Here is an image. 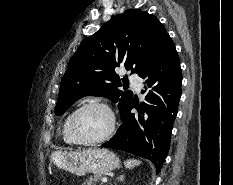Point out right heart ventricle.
<instances>
[{
  "mask_svg": "<svg viewBox=\"0 0 233 185\" xmlns=\"http://www.w3.org/2000/svg\"><path fill=\"white\" fill-rule=\"evenodd\" d=\"M75 111L72 110L70 111L66 117L64 118V121H63V124H62V138H63V141L66 143V144H69V145H75L77 144L76 141L73 140V138L71 137L70 133H69V129H68V124H69V119L72 115V113Z\"/></svg>",
  "mask_w": 233,
  "mask_h": 185,
  "instance_id": "e07e8e85",
  "label": "right heart ventricle"
}]
</instances>
